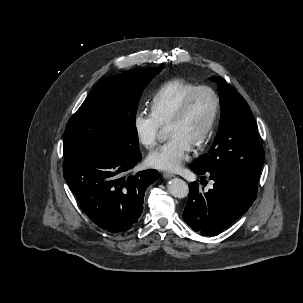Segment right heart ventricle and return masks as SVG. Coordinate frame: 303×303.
Returning a JSON list of instances; mask_svg holds the SVG:
<instances>
[{
	"label": "right heart ventricle",
	"instance_id": "right-heart-ventricle-1",
	"mask_svg": "<svg viewBox=\"0 0 303 303\" xmlns=\"http://www.w3.org/2000/svg\"><path fill=\"white\" fill-rule=\"evenodd\" d=\"M196 86L180 78L164 82L151 98V113L161 125L167 124L185 95Z\"/></svg>",
	"mask_w": 303,
	"mask_h": 303
}]
</instances>
